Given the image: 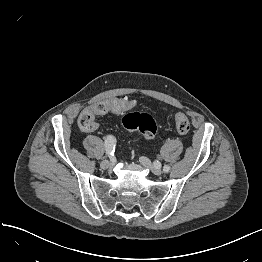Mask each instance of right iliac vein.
Returning <instances> with one entry per match:
<instances>
[{"label":"right iliac vein","instance_id":"obj_1","mask_svg":"<svg viewBox=\"0 0 262 262\" xmlns=\"http://www.w3.org/2000/svg\"><path fill=\"white\" fill-rule=\"evenodd\" d=\"M111 165H112L111 161L106 160V159L102 160L101 163H100V166L103 169H108L109 167H111Z\"/></svg>","mask_w":262,"mask_h":262}]
</instances>
